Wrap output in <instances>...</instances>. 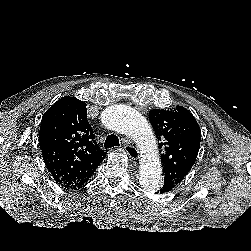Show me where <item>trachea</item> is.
Here are the masks:
<instances>
[{
    "instance_id": "3493384b",
    "label": "trachea",
    "mask_w": 251,
    "mask_h": 251,
    "mask_svg": "<svg viewBox=\"0 0 251 251\" xmlns=\"http://www.w3.org/2000/svg\"><path fill=\"white\" fill-rule=\"evenodd\" d=\"M117 146H119V138L114 134L108 135L104 143L105 149Z\"/></svg>"
}]
</instances>
